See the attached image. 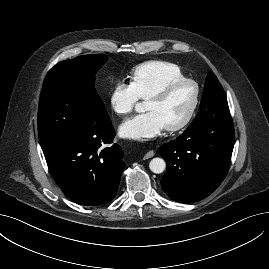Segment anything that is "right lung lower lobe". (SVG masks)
<instances>
[{
	"label": "right lung lower lobe",
	"mask_w": 269,
	"mask_h": 269,
	"mask_svg": "<svg viewBox=\"0 0 269 269\" xmlns=\"http://www.w3.org/2000/svg\"><path fill=\"white\" fill-rule=\"evenodd\" d=\"M112 123L42 147L49 171L64 194L81 205H101L117 194L125 163Z\"/></svg>",
	"instance_id": "1"
}]
</instances>
